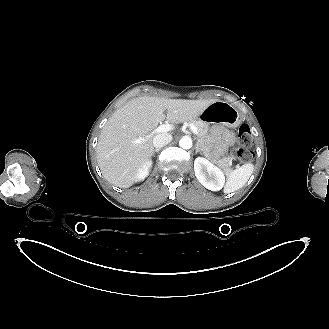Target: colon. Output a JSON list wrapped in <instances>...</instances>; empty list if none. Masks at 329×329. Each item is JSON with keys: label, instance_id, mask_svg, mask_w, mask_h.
Listing matches in <instances>:
<instances>
[{"label": "colon", "instance_id": "colon-1", "mask_svg": "<svg viewBox=\"0 0 329 329\" xmlns=\"http://www.w3.org/2000/svg\"><path fill=\"white\" fill-rule=\"evenodd\" d=\"M239 147L234 150L235 158L240 162H248L253 158L250 146L253 143L251 128L247 124H242L238 129Z\"/></svg>", "mask_w": 329, "mask_h": 329}]
</instances>
